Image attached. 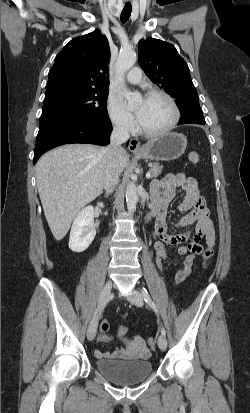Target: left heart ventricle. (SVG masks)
I'll return each mask as SVG.
<instances>
[{"label": "left heart ventricle", "mask_w": 250, "mask_h": 413, "mask_svg": "<svg viewBox=\"0 0 250 413\" xmlns=\"http://www.w3.org/2000/svg\"><path fill=\"white\" fill-rule=\"evenodd\" d=\"M138 110H141V125L150 131L164 129L173 119L172 107L161 97H150L140 101L137 105Z\"/></svg>", "instance_id": "left-heart-ventricle-1"}]
</instances>
